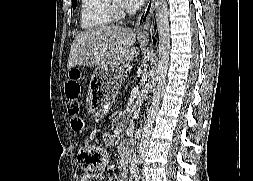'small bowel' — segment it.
Segmentation results:
<instances>
[{
    "label": "small bowel",
    "instance_id": "obj_1",
    "mask_svg": "<svg viewBox=\"0 0 253 181\" xmlns=\"http://www.w3.org/2000/svg\"><path fill=\"white\" fill-rule=\"evenodd\" d=\"M103 140L106 145L112 146L115 142V135L112 132H106L103 135ZM128 152L125 150L122 153L121 158L117 162V181H128ZM104 173L101 172L95 176L82 175L81 181H93V180H101L104 178Z\"/></svg>",
    "mask_w": 253,
    "mask_h": 181
}]
</instances>
